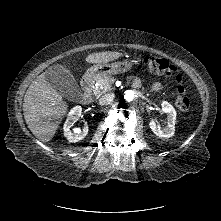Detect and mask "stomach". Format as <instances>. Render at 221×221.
Returning a JSON list of instances; mask_svg holds the SVG:
<instances>
[{"label": "stomach", "instance_id": "stomach-1", "mask_svg": "<svg viewBox=\"0 0 221 221\" xmlns=\"http://www.w3.org/2000/svg\"><path fill=\"white\" fill-rule=\"evenodd\" d=\"M132 67L133 62L127 60L121 62H114L111 64H97L86 71V76L90 79L97 80L108 75L127 72L131 70Z\"/></svg>", "mask_w": 221, "mask_h": 221}]
</instances>
